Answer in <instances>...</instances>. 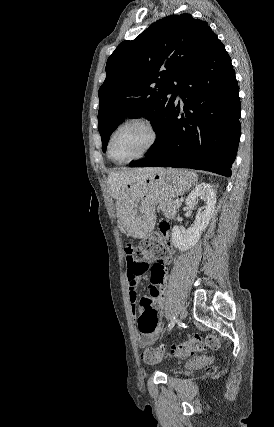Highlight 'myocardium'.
Returning a JSON list of instances; mask_svg holds the SVG:
<instances>
[{
	"label": "myocardium",
	"mask_w": 274,
	"mask_h": 427,
	"mask_svg": "<svg viewBox=\"0 0 274 427\" xmlns=\"http://www.w3.org/2000/svg\"><path fill=\"white\" fill-rule=\"evenodd\" d=\"M132 124H142L144 125L150 132L151 134V140L149 142V144L136 156L132 157L129 160L126 161H120L118 159H116L111 152V143H112V139L114 137V135L121 130L122 128L132 125ZM160 131L157 127V125L155 124V122L148 116L145 115H138V116H134L132 118L127 119L126 121L120 123L118 126H116L114 128V130L111 132V134L108 137V141H107V154L108 157L115 163L117 164H129L133 161L142 159L144 157H146L147 155H149L154 148L158 145L159 141H160Z\"/></svg>",
	"instance_id": "1"
}]
</instances>
